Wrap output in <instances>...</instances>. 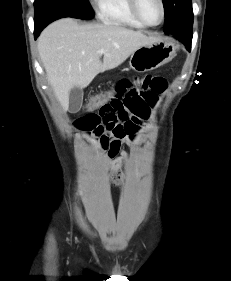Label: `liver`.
Masks as SVG:
<instances>
[{
    "label": "liver",
    "instance_id": "liver-1",
    "mask_svg": "<svg viewBox=\"0 0 231 281\" xmlns=\"http://www.w3.org/2000/svg\"><path fill=\"white\" fill-rule=\"evenodd\" d=\"M159 40L117 24L81 25L72 18H63L42 31L38 51L48 83L67 111L72 88L87 87L100 72L118 67L140 47Z\"/></svg>",
    "mask_w": 231,
    "mask_h": 281
}]
</instances>
